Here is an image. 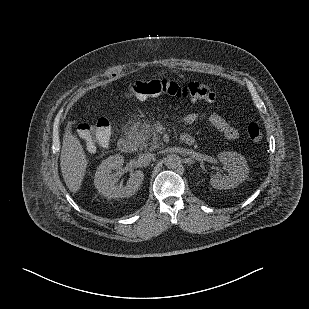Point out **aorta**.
<instances>
[{
	"label": "aorta",
	"mask_w": 309,
	"mask_h": 309,
	"mask_svg": "<svg viewBox=\"0 0 309 309\" xmlns=\"http://www.w3.org/2000/svg\"><path fill=\"white\" fill-rule=\"evenodd\" d=\"M164 162L168 169H176L181 164L180 157L176 154L167 155V157L164 159Z\"/></svg>",
	"instance_id": "762f6f07"
}]
</instances>
